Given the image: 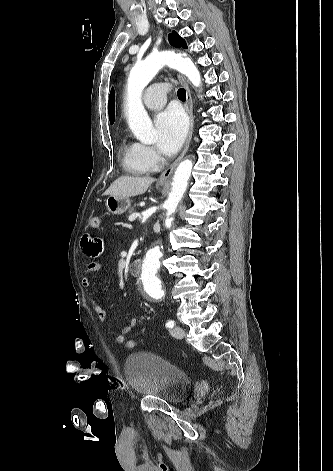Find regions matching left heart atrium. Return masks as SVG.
<instances>
[{"instance_id":"obj_1","label":"left heart atrium","mask_w":333,"mask_h":471,"mask_svg":"<svg viewBox=\"0 0 333 471\" xmlns=\"http://www.w3.org/2000/svg\"><path fill=\"white\" fill-rule=\"evenodd\" d=\"M187 127V119L179 109L168 108L159 113L155 119L158 149L167 155L176 153L185 139Z\"/></svg>"}]
</instances>
